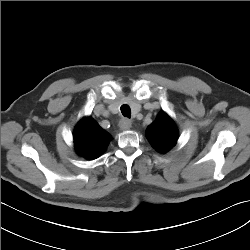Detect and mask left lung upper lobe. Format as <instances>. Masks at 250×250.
Returning <instances> with one entry per match:
<instances>
[{"instance_id":"5c2ea615","label":"left lung upper lobe","mask_w":250,"mask_h":250,"mask_svg":"<svg viewBox=\"0 0 250 250\" xmlns=\"http://www.w3.org/2000/svg\"><path fill=\"white\" fill-rule=\"evenodd\" d=\"M146 135L158 152L165 153L176 144L178 130L172 119L162 111L147 128Z\"/></svg>"}]
</instances>
